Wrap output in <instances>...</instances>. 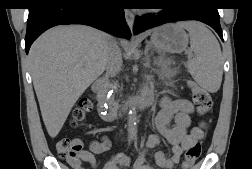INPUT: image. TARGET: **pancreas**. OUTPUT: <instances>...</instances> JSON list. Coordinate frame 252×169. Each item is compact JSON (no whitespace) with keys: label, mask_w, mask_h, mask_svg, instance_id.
Returning <instances> with one entry per match:
<instances>
[{"label":"pancreas","mask_w":252,"mask_h":169,"mask_svg":"<svg viewBox=\"0 0 252 169\" xmlns=\"http://www.w3.org/2000/svg\"><path fill=\"white\" fill-rule=\"evenodd\" d=\"M158 66L160 67V71L163 75H166V76H171V75H174L176 74V70L171 68L169 66V63L168 62H163L161 61Z\"/></svg>","instance_id":"cf45deb5"}]
</instances>
